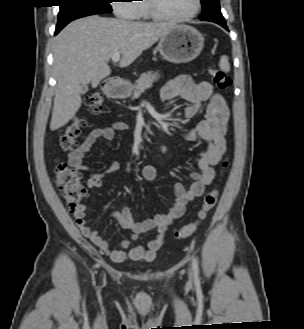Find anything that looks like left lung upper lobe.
<instances>
[{
    "label": "left lung upper lobe",
    "mask_w": 304,
    "mask_h": 329,
    "mask_svg": "<svg viewBox=\"0 0 304 329\" xmlns=\"http://www.w3.org/2000/svg\"><path fill=\"white\" fill-rule=\"evenodd\" d=\"M216 1H219V0H201V3H202V9H206L208 8L213 2H216Z\"/></svg>",
    "instance_id": "1"
}]
</instances>
